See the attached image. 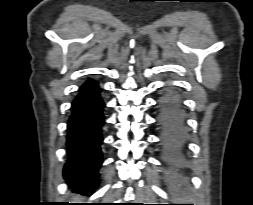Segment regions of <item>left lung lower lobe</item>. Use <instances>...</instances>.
Masks as SVG:
<instances>
[{
    "label": "left lung lower lobe",
    "instance_id": "1",
    "mask_svg": "<svg viewBox=\"0 0 253 205\" xmlns=\"http://www.w3.org/2000/svg\"><path fill=\"white\" fill-rule=\"evenodd\" d=\"M160 110L159 122L165 131L168 156L175 160L178 158L183 129L182 117L176 98L171 94L166 95L160 103Z\"/></svg>",
    "mask_w": 253,
    "mask_h": 205
}]
</instances>
